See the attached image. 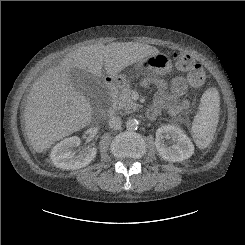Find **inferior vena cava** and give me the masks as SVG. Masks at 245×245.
Wrapping results in <instances>:
<instances>
[{"label":"inferior vena cava","mask_w":245,"mask_h":245,"mask_svg":"<svg viewBox=\"0 0 245 245\" xmlns=\"http://www.w3.org/2000/svg\"><path fill=\"white\" fill-rule=\"evenodd\" d=\"M109 127L112 129H119L122 125L120 117L113 116L109 119Z\"/></svg>","instance_id":"602c4592"}]
</instances>
